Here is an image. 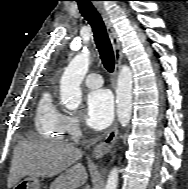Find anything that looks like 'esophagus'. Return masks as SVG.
Masks as SVG:
<instances>
[{
    "mask_svg": "<svg viewBox=\"0 0 188 189\" xmlns=\"http://www.w3.org/2000/svg\"><path fill=\"white\" fill-rule=\"evenodd\" d=\"M93 4L97 8L98 12L100 13V15L104 21L107 33L109 35V38H110V41H111V44L113 47L115 62H116L115 72H114V82H113V84L115 85L116 78H117L119 69L121 67V63H122V51H121L120 41H119L117 33L112 25L110 17L108 15L107 11L105 10L102 2L98 1V0H94ZM117 135H118V124H117V120H115L113 127L111 128L109 133L106 135L104 140L95 147V149L93 151V157L95 159H99L102 156H104L113 147V145L116 141Z\"/></svg>",
    "mask_w": 188,
    "mask_h": 189,
    "instance_id": "34e87169",
    "label": "esophagus"
}]
</instances>
